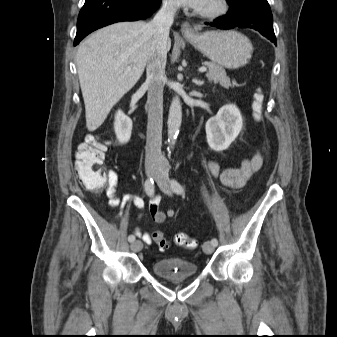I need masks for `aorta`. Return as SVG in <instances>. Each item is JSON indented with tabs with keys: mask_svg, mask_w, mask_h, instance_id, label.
<instances>
[{
	"mask_svg": "<svg viewBox=\"0 0 337 337\" xmlns=\"http://www.w3.org/2000/svg\"><path fill=\"white\" fill-rule=\"evenodd\" d=\"M182 122V105L180 98L175 96L171 102L168 115V142L175 144Z\"/></svg>",
	"mask_w": 337,
	"mask_h": 337,
	"instance_id": "aorta-1",
	"label": "aorta"
}]
</instances>
